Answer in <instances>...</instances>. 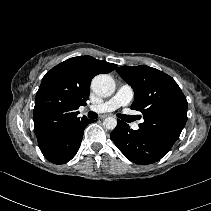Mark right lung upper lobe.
Listing matches in <instances>:
<instances>
[{"label": "right lung upper lobe", "instance_id": "1", "mask_svg": "<svg viewBox=\"0 0 211 211\" xmlns=\"http://www.w3.org/2000/svg\"><path fill=\"white\" fill-rule=\"evenodd\" d=\"M116 67V64L91 56H78L65 60L47 72L37 91L33 111L38 144L86 118H79L77 109L86 105L89 99L92 78L109 73Z\"/></svg>", "mask_w": 211, "mask_h": 211}]
</instances>
